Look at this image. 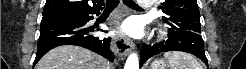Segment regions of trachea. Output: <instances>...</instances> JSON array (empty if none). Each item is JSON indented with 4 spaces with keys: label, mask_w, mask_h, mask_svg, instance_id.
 Returning a JSON list of instances; mask_svg holds the SVG:
<instances>
[{
    "label": "trachea",
    "mask_w": 246,
    "mask_h": 69,
    "mask_svg": "<svg viewBox=\"0 0 246 69\" xmlns=\"http://www.w3.org/2000/svg\"><path fill=\"white\" fill-rule=\"evenodd\" d=\"M118 3H119V1H116V0H108L106 2V8L104 11L114 10V8L118 5ZM123 3L127 6H130V7L139 8V6L132 0H123Z\"/></svg>",
    "instance_id": "3493384b"
}]
</instances>
